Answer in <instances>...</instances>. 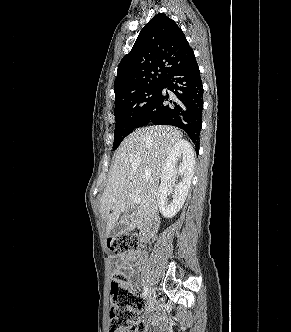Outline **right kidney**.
Here are the masks:
<instances>
[{
	"instance_id": "1",
	"label": "right kidney",
	"mask_w": 291,
	"mask_h": 332,
	"mask_svg": "<svg viewBox=\"0 0 291 332\" xmlns=\"http://www.w3.org/2000/svg\"><path fill=\"white\" fill-rule=\"evenodd\" d=\"M194 164V151L187 141L176 143L167 155L157 194L159 210L164 217H174L184 205L194 174ZM178 176L181 181L176 184L173 200L170 202L168 196L172 192L174 179Z\"/></svg>"
}]
</instances>
